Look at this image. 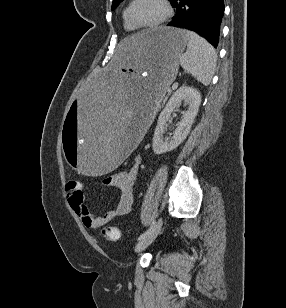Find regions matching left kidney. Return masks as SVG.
I'll use <instances>...</instances> for the list:
<instances>
[{
	"mask_svg": "<svg viewBox=\"0 0 286 308\" xmlns=\"http://www.w3.org/2000/svg\"><path fill=\"white\" fill-rule=\"evenodd\" d=\"M182 101L188 105V110L178 123L173 136L171 138H164L163 134L166 131V123ZM200 104L201 95L193 87L182 86L172 95L158 117L152 145L155 154L160 155L172 151L186 139L199 111Z\"/></svg>",
	"mask_w": 286,
	"mask_h": 308,
	"instance_id": "left-kidney-1",
	"label": "left kidney"
}]
</instances>
